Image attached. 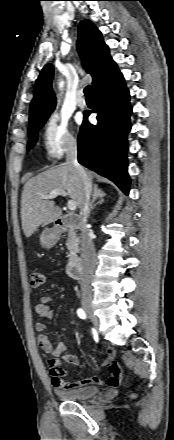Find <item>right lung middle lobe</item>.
I'll list each match as a JSON object with an SVG mask.
<instances>
[{
  "label": "right lung middle lobe",
  "instance_id": "1",
  "mask_svg": "<svg viewBox=\"0 0 174 440\" xmlns=\"http://www.w3.org/2000/svg\"><path fill=\"white\" fill-rule=\"evenodd\" d=\"M45 122L46 120H43L29 126L28 133L30 134V141L28 142V150H30L36 143L38 137L37 131L43 127Z\"/></svg>",
  "mask_w": 174,
  "mask_h": 440
}]
</instances>
